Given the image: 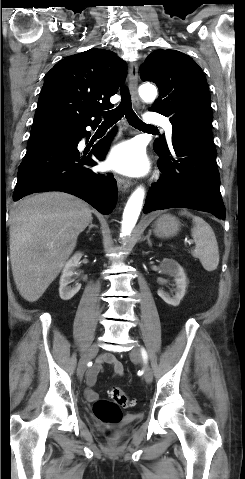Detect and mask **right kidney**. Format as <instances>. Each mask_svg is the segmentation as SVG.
Instances as JSON below:
<instances>
[{
  "label": "right kidney",
  "instance_id": "right-kidney-1",
  "mask_svg": "<svg viewBox=\"0 0 245 479\" xmlns=\"http://www.w3.org/2000/svg\"><path fill=\"white\" fill-rule=\"evenodd\" d=\"M81 258L82 253L74 254L65 264L62 271L59 282V295L64 301L70 300L81 288V284L78 283L74 287L68 286L72 281V276L74 275L76 268L80 265Z\"/></svg>",
  "mask_w": 245,
  "mask_h": 479
}]
</instances>
